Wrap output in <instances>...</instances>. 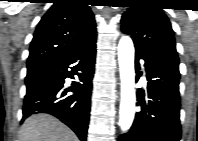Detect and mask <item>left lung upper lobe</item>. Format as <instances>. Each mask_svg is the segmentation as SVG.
Wrapping results in <instances>:
<instances>
[{"label": "left lung upper lobe", "instance_id": "1", "mask_svg": "<svg viewBox=\"0 0 198 141\" xmlns=\"http://www.w3.org/2000/svg\"><path fill=\"white\" fill-rule=\"evenodd\" d=\"M123 14L122 32L131 36L136 51L179 64L174 32L155 0H134Z\"/></svg>", "mask_w": 198, "mask_h": 141}]
</instances>
